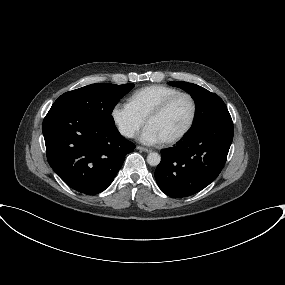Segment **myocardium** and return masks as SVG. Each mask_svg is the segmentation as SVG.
I'll return each mask as SVG.
<instances>
[{
	"instance_id": "obj_1",
	"label": "myocardium",
	"mask_w": 285,
	"mask_h": 285,
	"mask_svg": "<svg viewBox=\"0 0 285 285\" xmlns=\"http://www.w3.org/2000/svg\"><path fill=\"white\" fill-rule=\"evenodd\" d=\"M180 97H187L190 100L191 107H192L191 117H190V120H189L187 126L178 135L174 136L171 139H168V140H165L162 142L166 146H171V145L177 144L178 142L183 140L192 130V128L195 124V121L197 118V112H198V106H197V102H196L194 96L188 92H178V93L168 97L167 99H165L154 110H152L149 113V115L147 116V118L145 119L146 124L148 125V123L152 119L157 118V117L161 116L163 113H165L167 111V109L174 103V101H176Z\"/></svg>"
}]
</instances>
